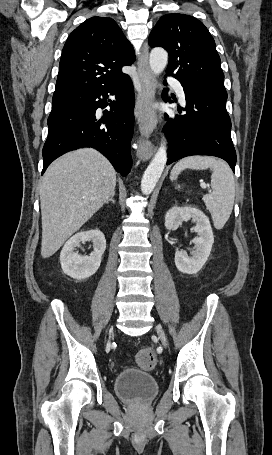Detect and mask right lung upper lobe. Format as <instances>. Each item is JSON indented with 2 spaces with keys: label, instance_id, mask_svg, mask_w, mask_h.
I'll list each match as a JSON object with an SVG mask.
<instances>
[{
  "label": "right lung upper lobe",
  "instance_id": "right-lung-upper-lobe-1",
  "mask_svg": "<svg viewBox=\"0 0 272 455\" xmlns=\"http://www.w3.org/2000/svg\"><path fill=\"white\" fill-rule=\"evenodd\" d=\"M134 60L132 45L113 19H87L64 45L52 105L121 82L129 77L122 67Z\"/></svg>",
  "mask_w": 272,
  "mask_h": 455
}]
</instances>
